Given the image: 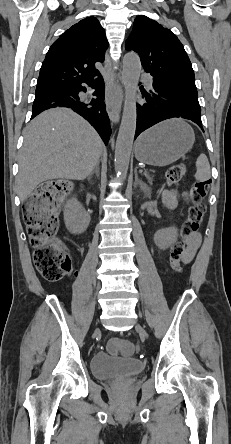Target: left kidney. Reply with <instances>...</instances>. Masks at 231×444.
Wrapping results in <instances>:
<instances>
[{
  "label": "left kidney",
  "mask_w": 231,
  "mask_h": 444,
  "mask_svg": "<svg viewBox=\"0 0 231 444\" xmlns=\"http://www.w3.org/2000/svg\"><path fill=\"white\" fill-rule=\"evenodd\" d=\"M178 237V230L175 227L158 230L154 235V242L160 249H167L174 244Z\"/></svg>",
  "instance_id": "5707ae66"
}]
</instances>
